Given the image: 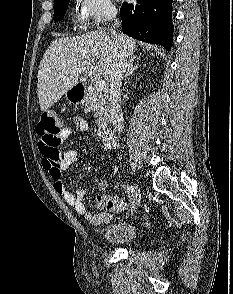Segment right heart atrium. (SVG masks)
Returning <instances> with one entry per match:
<instances>
[{"instance_id":"right-heart-atrium-1","label":"right heart atrium","mask_w":233,"mask_h":294,"mask_svg":"<svg viewBox=\"0 0 233 294\" xmlns=\"http://www.w3.org/2000/svg\"><path fill=\"white\" fill-rule=\"evenodd\" d=\"M76 2L79 18L87 27H100L117 14L112 0H76Z\"/></svg>"}]
</instances>
